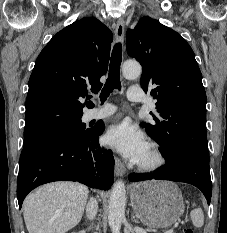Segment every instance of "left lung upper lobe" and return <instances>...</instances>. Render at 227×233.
<instances>
[{"mask_svg":"<svg viewBox=\"0 0 227 233\" xmlns=\"http://www.w3.org/2000/svg\"><path fill=\"white\" fill-rule=\"evenodd\" d=\"M127 52L142 67L141 87L150 91L157 112L146 132L161 147L165 161L188 151L207 160L206 93L195 55L176 31L149 17L127 31Z\"/></svg>","mask_w":227,"mask_h":233,"instance_id":"5c2ea615","label":"left lung upper lobe"}]
</instances>
